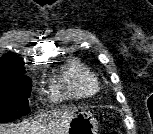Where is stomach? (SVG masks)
Here are the masks:
<instances>
[{
	"label": "stomach",
	"mask_w": 153,
	"mask_h": 134,
	"mask_svg": "<svg viewBox=\"0 0 153 134\" xmlns=\"http://www.w3.org/2000/svg\"><path fill=\"white\" fill-rule=\"evenodd\" d=\"M97 120L87 111L76 112L64 134H97Z\"/></svg>",
	"instance_id": "1"
}]
</instances>
